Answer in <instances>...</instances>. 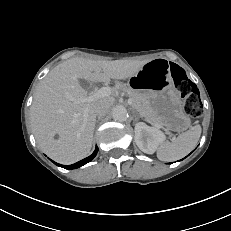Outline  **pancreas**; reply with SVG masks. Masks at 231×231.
<instances>
[{
  "mask_svg": "<svg viewBox=\"0 0 231 231\" xmlns=\"http://www.w3.org/2000/svg\"><path fill=\"white\" fill-rule=\"evenodd\" d=\"M116 88L120 91L126 92L129 95L132 105L141 114V116L145 118L146 121L151 124L160 125L155 111L152 109L149 101L143 95L129 87H126V85L123 83H117Z\"/></svg>",
  "mask_w": 231,
  "mask_h": 231,
  "instance_id": "pancreas-1",
  "label": "pancreas"
}]
</instances>
